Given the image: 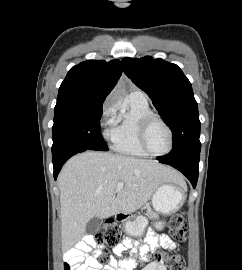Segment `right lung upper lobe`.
<instances>
[{
  "label": "right lung upper lobe",
  "mask_w": 242,
  "mask_h": 270,
  "mask_svg": "<svg viewBox=\"0 0 242 270\" xmlns=\"http://www.w3.org/2000/svg\"><path fill=\"white\" fill-rule=\"evenodd\" d=\"M122 74L118 60L84 61L72 67L61 83L55 107H93L103 104Z\"/></svg>",
  "instance_id": "obj_1"
}]
</instances>
